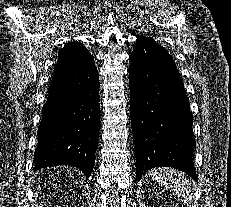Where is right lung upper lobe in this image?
<instances>
[{"instance_id": "cb5924a9", "label": "right lung upper lobe", "mask_w": 231, "mask_h": 207, "mask_svg": "<svg viewBox=\"0 0 231 207\" xmlns=\"http://www.w3.org/2000/svg\"><path fill=\"white\" fill-rule=\"evenodd\" d=\"M90 56L91 54L83 45H80L78 42H70L65 44L59 51L56 65L65 70H72L86 61Z\"/></svg>"}]
</instances>
